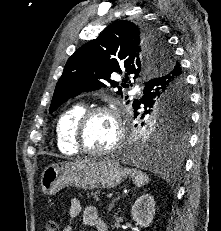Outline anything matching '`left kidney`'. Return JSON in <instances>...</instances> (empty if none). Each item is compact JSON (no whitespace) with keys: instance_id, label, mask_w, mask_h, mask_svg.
Here are the masks:
<instances>
[{"instance_id":"5707ae66","label":"left kidney","mask_w":221,"mask_h":231,"mask_svg":"<svg viewBox=\"0 0 221 231\" xmlns=\"http://www.w3.org/2000/svg\"><path fill=\"white\" fill-rule=\"evenodd\" d=\"M133 220L141 227L147 228L151 225L155 215V201L151 194L140 196L132 206Z\"/></svg>"}]
</instances>
